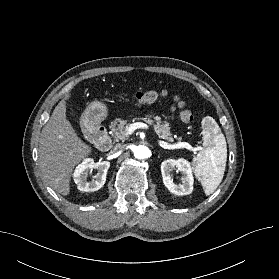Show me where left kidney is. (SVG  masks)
Wrapping results in <instances>:
<instances>
[{"label":"left kidney","mask_w":279,"mask_h":279,"mask_svg":"<svg viewBox=\"0 0 279 279\" xmlns=\"http://www.w3.org/2000/svg\"><path fill=\"white\" fill-rule=\"evenodd\" d=\"M173 169L182 173L181 183L175 184L170 174ZM161 173L165 187L178 196L188 195L193 191L194 178L190 163L185 159H168L161 163Z\"/></svg>","instance_id":"left-kidney-1"}]
</instances>
